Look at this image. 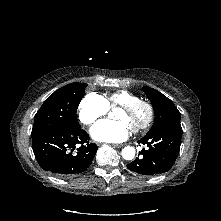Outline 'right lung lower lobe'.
I'll return each instance as SVG.
<instances>
[{"instance_id": "98d812e1", "label": "right lung lower lobe", "mask_w": 221, "mask_h": 221, "mask_svg": "<svg viewBox=\"0 0 221 221\" xmlns=\"http://www.w3.org/2000/svg\"><path fill=\"white\" fill-rule=\"evenodd\" d=\"M79 128H50L32 137V147L41 168L60 177L84 172L98 146ZM77 150V151H74Z\"/></svg>"}]
</instances>
